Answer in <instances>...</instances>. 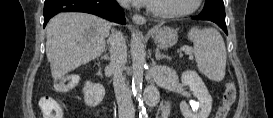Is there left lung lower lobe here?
I'll return each instance as SVG.
<instances>
[{"label":"left lung lower lobe","mask_w":273,"mask_h":118,"mask_svg":"<svg viewBox=\"0 0 273 118\" xmlns=\"http://www.w3.org/2000/svg\"><path fill=\"white\" fill-rule=\"evenodd\" d=\"M193 19H198V20H209V21H212L216 24H218V26L226 33H227V27H226V23L225 21H222V20H219V19H216V18H213V17H206V16H195L193 17Z\"/></svg>","instance_id":"obj_1"}]
</instances>
